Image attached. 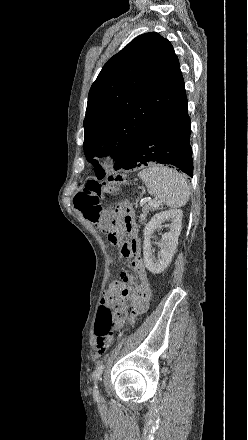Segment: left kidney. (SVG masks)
<instances>
[{
    "label": "left kidney",
    "instance_id": "left-kidney-1",
    "mask_svg": "<svg viewBox=\"0 0 248 440\" xmlns=\"http://www.w3.org/2000/svg\"><path fill=\"white\" fill-rule=\"evenodd\" d=\"M183 212L181 209H171L155 214L144 228L143 256L146 268L153 274H159L172 261L178 245L181 232ZM171 221L170 231L162 235L158 260L152 253L151 237L154 231L162 228V223Z\"/></svg>",
    "mask_w": 248,
    "mask_h": 440
}]
</instances>
